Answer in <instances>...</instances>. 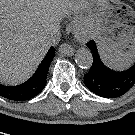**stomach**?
Masks as SVG:
<instances>
[{"label": "stomach", "instance_id": "1", "mask_svg": "<svg viewBox=\"0 0 135 135\" xmlns=\"http://www.w3.org/2000/svg\"><path fill=\"white\" fill-rule=\"evenodd\" d=\"M96 34L105 60L119 51L135 54V11L120 0H99Z\"/></svg>", "mask_w": 135, "mask_h": 135}]
</instances>
